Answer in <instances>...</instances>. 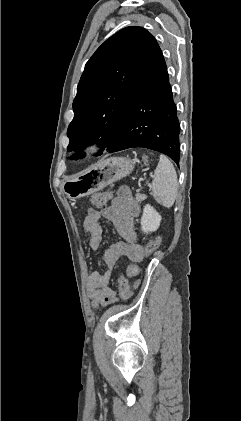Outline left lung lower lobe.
Wrapping results in <instances>:
<instances>
[{
  "mask_svg": "<svg viewBox=\"0 0 241 421\" xmlns=\"http://www.w3.org/2000/svg\"><path fill=\"white\" fill-rule=\"evenodd\" d=\"M180 126L163 54L156 43L142 72L121 132L109 153L143 147L161 152L178 165Z\"/></svg>",
  "mask_w": 241,
  "mask_h": 421,
  "instance_id": "obj_1",
  "label": "left lung lower lobe"
}]
</instances>
